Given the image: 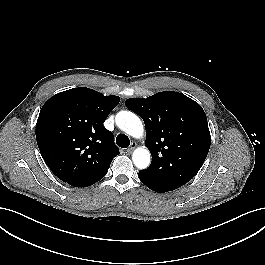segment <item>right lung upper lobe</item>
<instances>
[{"instance_id": "obj_1", "label": "right lung upper lobe", "mask_w": 265, "mask_h": 265, "mask_svg": "<svg viewBox=\"0 0 265 265\" xmlns=\"http://www.w3.org/2000/svg\"><path fill=\"white\" fill-rule=\"evenodd\" d=\"M118 96L79 87L60 92L42 107L36 139L41 155L60 180L82 187L102 179L119 154L103 123Z\"/></svg>"}]
</instances>
